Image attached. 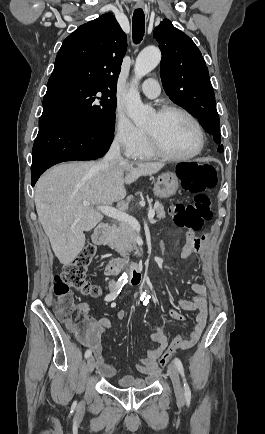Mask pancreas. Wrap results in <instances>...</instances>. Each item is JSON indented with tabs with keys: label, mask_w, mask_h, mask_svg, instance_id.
<instances>
[{
	"label": "pancreas",
	"mask_w": 265,
	"mask_h": 434,
	"mask_svg": "<svg viewBox=\"0 0 265 434\" xmlns=\"http://www.w3.org/2000/svg\"><path fill=\"white\" fill-rule=\"evenodd\" d=\"M155 214L158 220L165 218L164 206L160 204V202L157 208H155ZM135 236L136 232L129 224L120 222V224L112 226L109 234H107L105 238L104 244L105 246H109L111 250H116V252H120L121 248H125L127 252H130V250L136 248Z\"/></svg>",
	"instance_id": "pancreas-1"
}]
</instances>
